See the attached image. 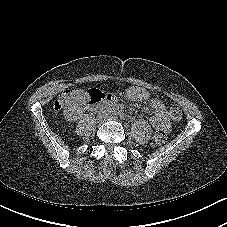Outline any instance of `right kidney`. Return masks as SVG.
I'll return each instance as SVG.
<instances>
[{"mask_svg": "<svg viewBox=\"0 0 227 227\" xmlns=\"http://www.w3.org/2000/svg\"><path fill=\"white\" fill-rule=\"evenodd\" d=\"M79 101H80V98H77V97L71 96L68 98L67 105L64 110L65 119L69 121L77 120L81 112V108L78 104Z\"/></svg>", "mask_w": 227, "mask_h": 227, "instance_id": "ca27d5eb", "label": "right kidney"}]
</instances>
